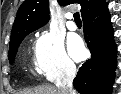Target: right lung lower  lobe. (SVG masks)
<instances>
[{"label": "right lung lower lobe", "mask_w": 121, "mask_h": 94, "mask_svg": "<svg viewBox=\"0 0 121 94\" xmlns=\"http://www.w3.org/2000/svg\"><path fill=\"white\" fill-rule=\"evenodd\" d=\"M84 35L92 54L79 68L73 85L81 94H111L117 47L113 41L108 3L82 17Z\"/></svg>", "instance_id": "obj_1"}]
</instances>
